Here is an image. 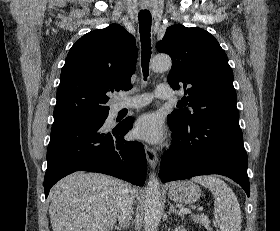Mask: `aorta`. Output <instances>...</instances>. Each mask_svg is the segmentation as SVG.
I'll return each mask as SVG.
<instances>
[{"label":"aorta","instance_id":"1","mask_svg":"<svg viewBox=\"0 0 280 231\" xmlns=\"http://www.w3.org/2000/svg\"><path fill=\"white\" fill-rule=\"evenodd\" d=\"M171 66L172 62L169 56H155L150 60V68L153 72H167ZM161 203L159 179L156 177V173H151L144 199V231H157L162 209Z\"/></svg>","mask_w":280,"mask_h":231}]
</instances>
